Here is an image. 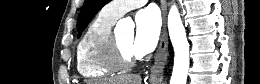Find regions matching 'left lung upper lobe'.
I'll use <instances>...</instances> for the list:
<instances>
[{
	"mask_svg": "<svg viewBox=\"0 0 260 84\" xmlns=\"http://www.w3.org/2000/svg\"><path fill=\"white\" fill-rule=\"evenodd\" d=\"M109 1L110 0H85L77 21L79 36L81 31L87 27L88 23L92 20L95 14Z\"/></svg>",
	"mask_w": 260,
	"mask_h": 84,
	"instance_id": "1",
	"label": "left lung upper lobe"
}]
</instances>
